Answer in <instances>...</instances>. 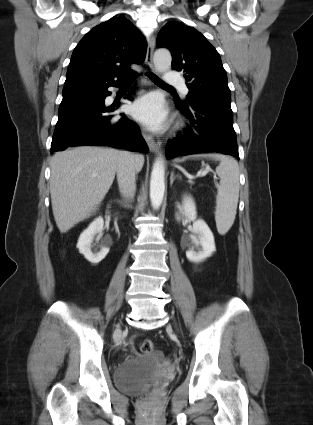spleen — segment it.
I'll list each match as a JSON object with an SVG mask.
<instances>
[{
  "label": "spleen",
  "instance_id": "spleen-1",
  "mask_svg": "<svg viewBox=\"0 0 313 425\" xmlns=\"http://www.w3.org/2000/svg\"><path fill=\"white\" fill-rule=\"evenodd\" d=\"M206 157L220 161L216 173L220 177L217 186L215 221L219 234L224 235L234 223L239 199V166L237 161L223 154Z\"/></svg>",
  "mask_w": 313,
  "mask_h": 425
}]
</instances>
